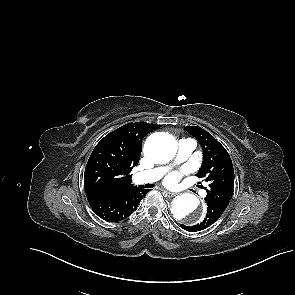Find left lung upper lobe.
<instances>
[{"mask_svg":"<svg viewBox=\"0 0 295 295\" xmlns=\"http://www.w3.org/2000/svg\"><path fill=\"white\" fill-rule=\"evenodd\" d=\"M185 130L198 140L203 150V163L196 175L209 184L204 199L230 202L234 192V169L228 152L204 129L186 126Z\"/></svg>","mask_w":295,"mask_h":295,"instance_id":"left-lung-upper-lobe-1","label":"left lung upper lobe"}]
</instances>
